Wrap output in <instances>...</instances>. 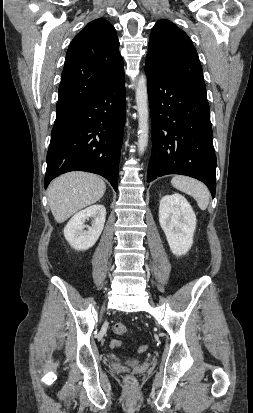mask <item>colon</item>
I'll return each mask as SVG.
<instances>
[{"mask_svg":"<svg viewBox=\"0 0 253 413\" xmlns=\"http://www.w3.org/2000/svg\"><path fill=\"white\" fill-rule=\"evenodd\" d=\"M113 330H114V333L117 334V335H125V334L128 333V328H127L123 323H115L114 326H113ZM111 346H112L113 348H118V347L121 346V342H120L119 340H113V341L111 342ZM147 349H148V346H147V345H141V346L138 348V351H139V352H145V351H147ZM125 383H126L128 386L132 387V386L135 385L136 380H135V378H134L133 376L127 375V376L125 377Z\"/></svg>","mask_w":253,"mask_h":413,"instance_id":"colon-1","label":"colon"}]
</instances>
